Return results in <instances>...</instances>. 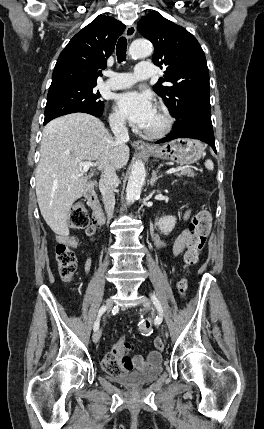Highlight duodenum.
I'll use <instances>...</instances> for the list:
<instances>
[{"label": "duodenum", "mask_w": 264, "mask_h": 429, "mask_svg": "<svg viewBox=\"0 0 264 429\" xmlns=\"http://www.w3.org/2000/svg\"><path fill=\"white\" fill-rule=\"evenodd\" d=\"M84 197L87 200L89 207L93 212L94 220L99 224L103 225L106 222V217L103 212L100 200L97 197V194L94 189L92 182H89L84 190Z\"/></svg>", "instance_id": "1"}]
</instances>
